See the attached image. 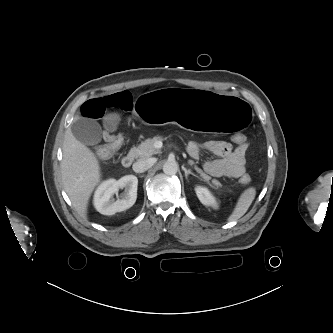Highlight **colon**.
Segmentation results:
<instances>
[{
	"label": "colon",
	"mask_w": 333,
	"mask_h": 333,
	"mask_svg": "<svg viewBox=\"0 0 333 333\" xmlns=\"http://www.w3.org/2000/svg\"><path fill=\"white\" fill-rule=\"evenodd\" d=\"M105 138L107 141L106 144L101 145L96 148V155L101 160H106V159L111 158L123 144L122 135L115 136V135L107 134L105 136ZM232 140L237 145H242V144L247 143V138L245 137V135H243L242 133H239V132H236L232 135ZM250 182H251V176L248 174H244L240 178V183L243 185H248V184H250Z\"/></svg>",
	"instance_id": "5ec220e1"
}]
</instances>
